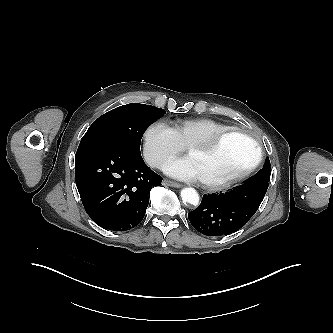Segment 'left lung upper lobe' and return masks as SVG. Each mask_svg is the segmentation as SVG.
Here are the masks:
<instances>
[{
    "label": "left lung upper lobe",
    "mask_w": 333,
    "mask_h": 333,
    "mask_svg": "<svg viewBox=\"0 0 333 333\" xmlns=\"http://www.w3.org/2000/svg\"><path fill=\"white\" fill-rule=\"evenodd\" d=\"M270 175H271V165L269 158L267 157L263 168L257 174H255L253 177L247 180L245 183H252L258 181L268 182Z\"/></svg>",
    "instance_id": "obj_1"
}]
</instances>
